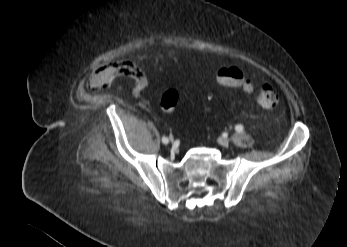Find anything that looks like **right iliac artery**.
Returning <instances> with one entry per match:
<instances>
[{
	"mask_svg": "<svg viewBox=\"0 0 347 247\" xmlns=\"http://www.w3.org/2000/svg\"><path fill=\"white\" fill-rule=\"evenodd\" d=\"M162 142H163L164 144H167V143L169 142V140H168L167 137H163V138H162Z\"/></svg>",
	"mask_w": 347,
	"mask_h": 247,
	"instance_id": "obj_1",
	"label": "right iliac artery"
}]
</instances>
